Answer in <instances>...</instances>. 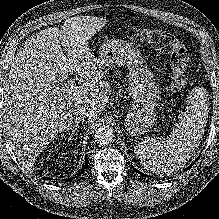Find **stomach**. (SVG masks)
Wrapping results in <instances>:
<instances>
[{"mask_svg": "<svg viewBox=\"0 0 219 219\" xmlns=\"http://www.w3.org/2000/svg\"><path fill=\"white\" fill-rule=\"evenodd\" d=\"M97 60L102 67L127 66L132 105L124 118L129 135L147 133L156 118L160 88L154 75L144 64L137 47L123 39H112L102 44Z\"/></svg>", "mask_w": 219, "mask_h": 219, "instance_id": "1", "label": "stomach"}]
</instances>
